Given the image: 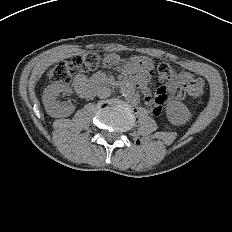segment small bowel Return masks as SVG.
I'll return each mask as SVG.
<instances>
[{"mask_svg": "<svg viewBox=\"0 0 232 232\" xmlns=\"http://www.w3.org/2000/svg\"><path fill=\"white\" fill-rule=\"evenodd\" d=\"M104 65L108 68H121L125 65V70L129 74H136L138 72L142 77H149L153 73L154 69L150 60L140 56H137L134 59H129L126 62L125 58L121 55H117L115 57L109 55L104 58ZM84 81H86V78L83 75H78L74 81L75 88ZM193 81H197L202 84L201 80L195 79L189 73L181 72L172 82L166 86L158 88L154 98L152 97L150 89L146 83L147 87L143 92L151 112L153 114H159L162 110V106L167 101L183 99L186 92V86Z\"/></svg>", "mask_w": 232, "mask_h": 232, "instance_id": "c3829d8e", "label": "small bowel"}]
</instances>
